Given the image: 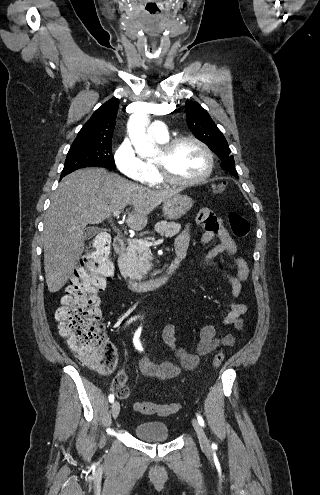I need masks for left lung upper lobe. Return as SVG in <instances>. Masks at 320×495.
<instances>
[{"mask_svg":"<svg viewBox=\"0 0 320 495\" xmlns=\"http://www.w3.org/2000/svg\"><path fill=\"white\" fill-rule=\"evenodd\" d=\"M186 116L188 126L195 137L205 143L222 160V169L238 177L228 143L208 112L197 102L188 101L186 102Z\"/></svg>","mask_w":320,"mask_h":495,"instance_id":"obj_1","label":"left lung upper lobe"}]
</instances>
